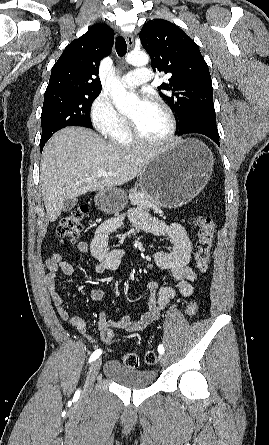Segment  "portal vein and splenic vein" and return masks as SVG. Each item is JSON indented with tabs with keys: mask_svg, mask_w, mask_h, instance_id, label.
Masks as SVG:
<instances>
[{
	"mask_svg": "<svg viewBox=\"0 0 269 445\" xmlns=\"http://www.w3.org/2000/svg\"><path fill=\"white\" fill-rule=\"evenodd\" d=\"M97 175H98L99 177H101V176H107V175H109V173H107V172L104 171V170H99L98 173H97Z\"/></svg>",
	"mask_w": 269,
	"mask_h": 445,
	"instance_id": "obj_1",
	"label": "portal vein and splenic vein"
}]
</instances>
